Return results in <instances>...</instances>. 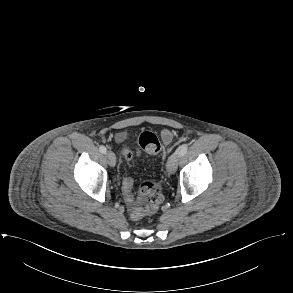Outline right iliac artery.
<instances>
[{"mask_svg":"<svg viewBox=\"0 0 293 293\" xmlns=\"http://www.w3.org/2000/svg\"><path fill=\"white\" fill-rule=\"evenodd\" d=\"M99 150H100V152L103 153V154L106 153V148H105V146H103V145H101V146L99 147Z\"/></svg>","mask_w":293,"mask_h":293,"instance_id":"right-iliac-artery-1","label":"right iliac artery"}]
</instances>
